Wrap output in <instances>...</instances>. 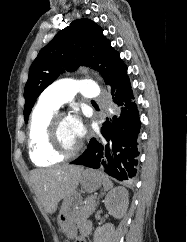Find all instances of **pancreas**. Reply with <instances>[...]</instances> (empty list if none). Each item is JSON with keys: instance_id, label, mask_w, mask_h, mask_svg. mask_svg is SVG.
<instances>
[{"instance_id": "pancreas-1", "label": "pancreas", "mask_w": 187, "mask_h": 242, "mask_svg": "<svg viewBox=\"0 0 187 242\" xmlns=\"http://www.w3.org/2000/svg\"><path fill=\"white\" fill-rule=\"evenodd\" d=\"M96 208V197L95 196H90L87 197L85 201V205L80 209L79 215L82 218L90 216Z\"/></svg>"}]
</instances>
